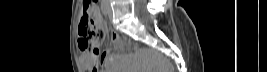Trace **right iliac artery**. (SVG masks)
Listing matches in <instances>:
<instances>
[{
    "label": "right iliac artery",
    "mask_w": 267,
    "mask_h": 72,
    "mask_svg": "<svg viewBox=\"0 0 267 72\" xmlns=\"http://www.w3.org/2000/svg\"><path fill=\"white\" fill-rule=\"evenodd\" d=\"M101 10L103 12V14L107 15L109 12V5L106 1H102L101 3Z\"/></svg>",
    "instance_id": "82829eb1"
}]
</instances>
